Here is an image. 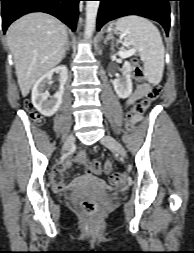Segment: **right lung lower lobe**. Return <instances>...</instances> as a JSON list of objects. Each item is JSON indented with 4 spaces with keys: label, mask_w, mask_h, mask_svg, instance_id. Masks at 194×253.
Instances as JSON below:
<instances>
[{
    "label": "right lung lower lobe",
    "mask_w": 194,
    "mask_h": 253,
    "mask_svg": "<svg viewBox=\"0 0 194 253\" xmlns=\"http://www.w3.org/2000/svg\"><path fill=\"white\" fill-rule=\"evenodd\" d=\"M2 1L3 32L8 26L29 12H45L67 24L73 31L78 19V3L81 0H0Z\"/></svg>",
    "instance_id": "98d812e1"
}]
</instances>
